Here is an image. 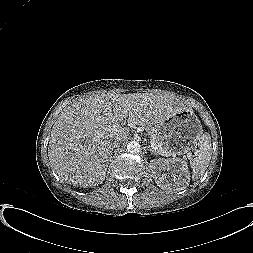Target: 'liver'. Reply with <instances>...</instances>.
Returning <instances> with one entry per match:
<instances>
[{
    "label": "liver",
    "mask_w": 253,
    "mask_h": 253,
    "mask_svg": "<svg viewBox=\"0 0 253 253\" xmlns=\"http://www.w3.org/2000/svg\"><path fill=\"white\" fill-rule=\"evenodd\" d=\"M190 110L172 94L102 92L74 101L55 121L48 156L59 177L89 187L105 180L113 140L122 141L129 125L158 126L176 112Z\"/></svg>",
    "instance_id": "obj_1"
}]
</instances>
